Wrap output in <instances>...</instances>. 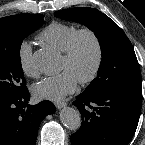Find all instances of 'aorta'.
Instances as JSON below:
<instances>
[{
	"mask_svg": "<svg viewBox=\"0 0 145 145\" xmlns=\"http://www.w3.org/2000/svg\"><path fill=\"white\" fill-rule=\"evenodd\" d=\"M34 63L39 70L49 73L53 70L56 59L51 51L41 49L34 54ZM60 120L66 128L72 131L78 130L82 123L79 111L72 107L61 110Z\"/></svg>",
	"mask_w": 145,
	"mask_h": 145,
	"instance_id": "1",
	"label": "aorta"
}]
</instances>
